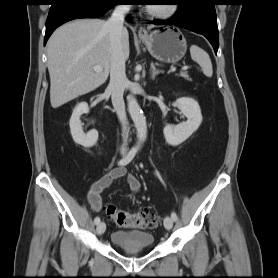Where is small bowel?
I'll list each match as a JSON object with an SVG mask.
<instances>
[{
  "label": "small bowel",
  "mask_w": 278,
  "mask_h": 278,
  "mask_svg": "<svg viewBox=\"0 0 278 278\" xmlns=\"http://www.w3.org/2000/svg\"><path fill=\"white\" fill-rule=\"evenodd\" d=\"M123 177L126 178L127 185L132 192H140V181L135 176L128 174L124 167H116L92 184L87 194V199L94 211L98 212L102 209L101 193L105 189H107L115 180Z\"/></svg>",
  "instance_id": "obj_1"
}]
</instances>
